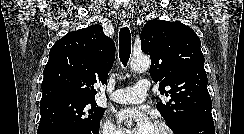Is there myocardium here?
I'll list each match as a JSON object with an SVG mask.
<instances>
[{"instance_id": "myocardium-1", "label": "myocardium", "mask_w": 244, "mask_h": 134, "mask_svg": "<svg viewBox=\"0 0 244 134\" xmlns=\"http://www.w3.org/2000/svg\"><path fill=\"white\" fill-rule=\"evenodd\" d=\"M154 125L162 129L166 134H175L173 129L163 121H156Z\"/></svg>"}]
</instances>
